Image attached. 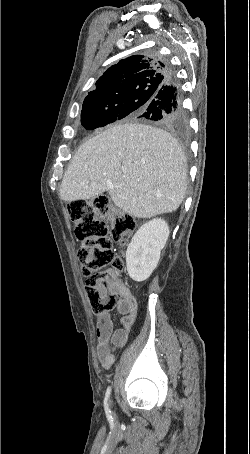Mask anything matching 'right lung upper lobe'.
<instances>
[{
    "instance_id": "right-lung-upper-lobe-1",
    "label": "right lung upper lobe",
    "mask_w": 250,
    "mask_h": 454,
    "mask_svg": "<svg viewBox=\"0 0 250 454\" xmlns=\"http://www.w3.org/2000/svg\"><path fill=\"white\" fill-rule=\"evenodd\" d=\"M169 73L167 63L155 55L130 56L104 72L83 105L119 98L145 84H156L161 88Z\"/></svg>"
}]
</instances>
